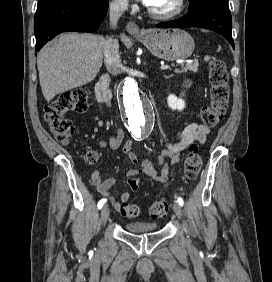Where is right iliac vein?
Instances as JSON below:
<instances>
[{
	"instance_id": "obj_1",
	"label": "right iliac vein",
	"mask_w": 272,
	"mask_h": 282,
	"mask_svg": "<svg viewBox=\"0 0 272 282\" xmlns=\"http://www.w3.org/2000/svg\"><path fill=\"white\" fill-rule=\"evenodd\" d=\"M109 214H110V210L108 205L103 206L100 213L101 221L103 224H105L106 221L108 220Z\"/></svg>"
}]
</instances>
